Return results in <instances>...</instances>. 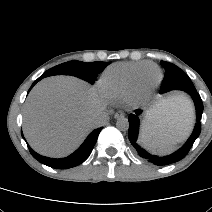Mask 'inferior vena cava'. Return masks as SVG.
<instances>
[{
	"mask_svg": "<svg viewBox=\"0 0 212 212\" xmlns=\"http://www.w3.org/2000/svg\"><path fill=\"white\" fill-rule=\"evenodd\" d=\"M108 119V115L105 112H101L97 116L93 117L92 123L94 127H100L103 126Z\"/></svg>",
	"mask_w": 212,
	"mask_h": 212,
	"instance_id": "602c4592",
	"label": "inferior vena cava"
}]
</instances>
